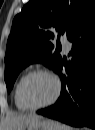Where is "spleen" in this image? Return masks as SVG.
I'll return each instance as SVG.
<instances>
[{
    "label": "spleen",
    "mask_w": 95,
    "mask_h": 130,
    "mask_svg": "<svg viewBox=\"0 0 95 130\" xmlns=\"http://www.w3.org/2000/svg\"><path fill=\"white\" fill-rule=\"evenodd\" d=\"M62 130H73L71 127L66 126V125H62Z\"/></svg>",
    "instance_id": "spleen-1"
}]
</instances>
